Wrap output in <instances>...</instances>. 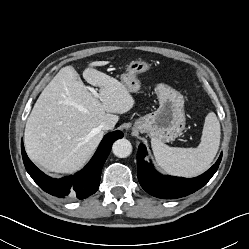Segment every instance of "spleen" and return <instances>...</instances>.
<instances>
[{
    "instance_id": "3e777b00",
    "label": "spleen",
    "mask_w": 249,
    "mask_h": 249,
    "mask_svg": "<svg viewBox=\"0 0 249 249\" xmlns=\"http://www.w3.org/2000/svg\"><path fill=\"white\" fill-rule=\"evenodd\" d=\"M220 123L215 113L206 118L197 148L169 147L158 139H151V146L157 165L165 172L194 177L206 171L215 158L220 145Z\"/></svg>"
}]
</instances>
